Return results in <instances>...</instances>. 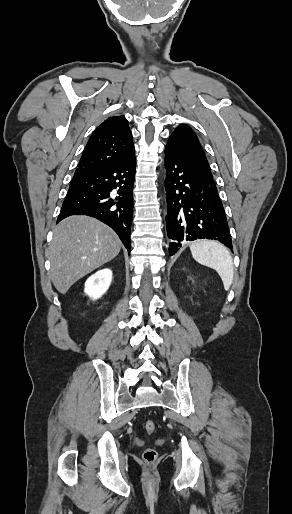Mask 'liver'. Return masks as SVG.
<instances>
[{"instance_id":"liver-1","label":"liver","mask_w":292,"mask_h":514,"mask_svg":"<svg viewBox=\"0 0 292 514\" xmlns=\"http://www.w3.org/2000/svg\"><path fill=\"white\" fill-rule=\"evenodd\" d=\"M121 242L106 224L89 216H70L53 230L47 256L51 280L60 294L118 256Z\"/></svg>"}]
</instances>
